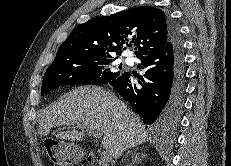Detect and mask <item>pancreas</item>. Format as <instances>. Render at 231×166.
Here are the masks:
<instances>
[{"instance_id":"pancreas-1","label":"pancreas","mask_w":231,"mask_h":166,"mask_svg":"<svg viewBox=\"0 0 231 166\" xmlns=\"http://www.w3.org/2000/svg\"><path fill=\"white\" fill-rule=\"evenodd\" d=\"M95 166H107V164L99 160Z\"/></svg>"}]
</instances>
